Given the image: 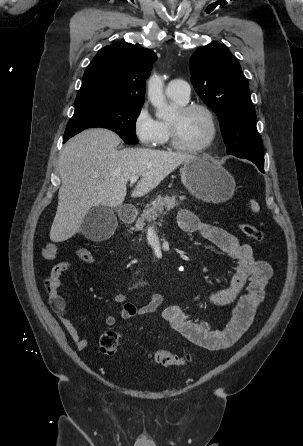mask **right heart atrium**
Returning <instances> with one entry per match:
<instances>
[{
  "mask_svg": "<svg viewBox=\"0 0 303 446\" xmlns=\"http://www.w3.org/2000/svg\"><path fill=\"white\" fill-rule=\"evenodd\" d=\"M133 130L137 140L146 147H152L161 139L159 121L152 115L147 103H143L133 119Z\"/></svg>",
  "mask_w": 303,
  "mask_h": 446,
  "instance_id": "1",
  "label": "right heart atrium"
}]
</instances>
